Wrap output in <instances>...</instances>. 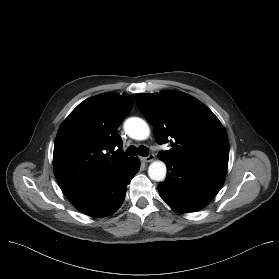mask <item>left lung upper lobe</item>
I'll return each instance as SVG.
<instances>
[{"mask_svg":"<svg viewBox=\"0 0 279 279\" xmlns=\"http://www.w3.org/2000/svg\"><path fill=\"white\" fill-rule=\"evenodd\" d=\"M135 101L153 126L157 143L172 148L160 159L206 168L227 170L229 140L214 113L196 98L178 91L137 94Z\"/></svg>","mask_w":279,"mask_h":279,"instance_id":"5c2ea615","label":"left lung upper lobe"}]
</instances>
